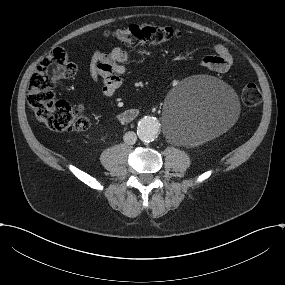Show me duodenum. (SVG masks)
Returning a JSON list of instances; mask_svg holds the SVG:
<instances>
[{
  "instance_id": "1",
  "label": "duodenum",
  "mask_w": 285,
  "mask_h": 285,
  "mask_svg": "<svg viewBox=\"0 0 285 285\" xmlns=\"http://www.w3.org/2000/svg\"><path fill=\"white\" fill-rule=\"evenodd\" d=\"M138 115V111L135 108H130L127 110L122 111L119 114V120L122 123H129L132 122Z\"/></svg>"
}]
</instances>
